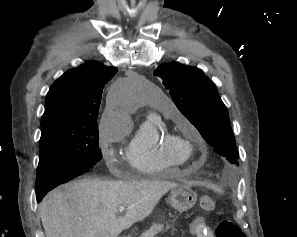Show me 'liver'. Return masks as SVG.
I'll list each match as a JSON object with an SVG mask.
<instances>
[{"label":"liver","instance_id":"6515ba94","mask_svg":"<svg viewBox=\"0 0 297 237\" xmlns=\"http://www.w3.org/2000/svg\"><path fill=\"white\" fill-rule=\"evenodd\" d=\"M177 183L81 180L56 188L39 205L46 237H117L148 217ZM126 207L123 217L118 208Z\"/></svg>","mask_w":297,"mask_h":237}]
</instances>
